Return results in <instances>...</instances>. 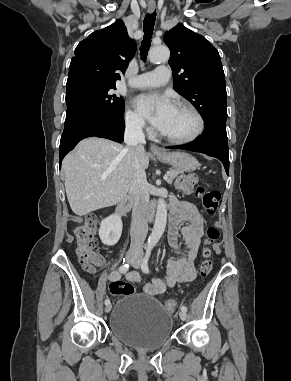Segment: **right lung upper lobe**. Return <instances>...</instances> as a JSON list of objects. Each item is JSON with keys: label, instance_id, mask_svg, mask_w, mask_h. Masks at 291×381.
Returning <instances> with one entry per match:
<instances>
[{"label": "right lung upper lobe", "instance_id": "cb5924a9", "mask_svg": "<svg viewBox=\"0 0 291 381\" xmlns=\"http://www.w3.org/2000/svg\"><path fill=\"white\" fill-rule=\"evenodd\" d=\"M135 50V42L128 37L123 21L117 20L102 30L94 31L78 44L67 80L86 78L115 84L120 80L117 71H125Z\"/></svg>", "mask_w": 291, "mask_h": 381}]
</instances>
